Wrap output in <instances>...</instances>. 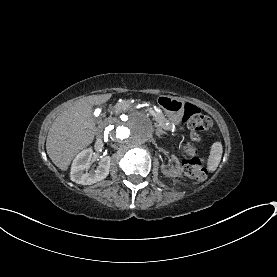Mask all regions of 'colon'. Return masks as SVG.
I'll use <instances>...</instances> for the list:
<instances>
[{"label": "colon", "instance_id": "colon-1", "mask_svg": "<svg viewBox=\"0 0 277 277\" xmlns=\"http://www.w3.org/2000/svg\"><path fill=\"white\" fill-rule=\"evenodd\" d=\"M182 123L193 131L191 134V141L187 142L182 147L184 154L182 159L183 171L193 180H204L207 174L206 162L200 157L198 150L193 145V141L198 139V132L206 131L211 128V119L197 106L186 104L182 116ZM209 143L210 141H208V144Z\"/></svg>", "mask_w": 277, "mask_h": 277}]
</instances>
